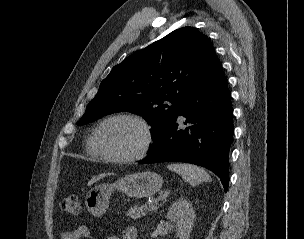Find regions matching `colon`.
<instances>
[{
  "label": "colon",
  "instance_id": "colon-1",
  "mask_svg": "<svg viewBox=\"0 0 304 239\" xmlns=\"http://www.w3.org/2000/svg\"><path fill=\"white\" fill-rule=\"evenodd\" d=\"M61 209L71 215H77L81 211V199L78 195H67L61 200Z\"/></svg>",
  "mask_w": 304,
  "mask_h": 239
}]
</instances>
